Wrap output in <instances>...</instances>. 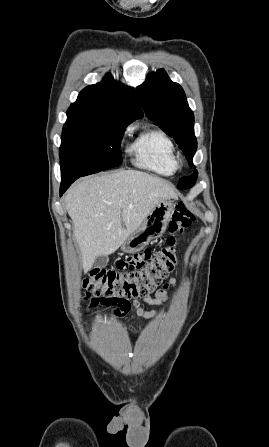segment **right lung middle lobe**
Returning <instances> with one entry per match:
<instances>
[{
    "label": "right lung middle lobe",
    "instance_id": "1",
    "mask_svg": "<svg viewBox=\"0 0 269 447\" xmlns=\"http://www.w3.org/2000/svg\"><path fill=\"white\" fill-rule=\"evenodd\" d=\"M130 123L89 118H67L59 156L61 164L106 170L122 163L120 141Z\"/></svg>",
    "mask_w": 269,
    "mask_h": 447
}]
</instances>
